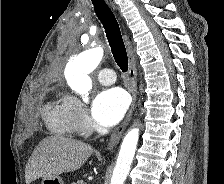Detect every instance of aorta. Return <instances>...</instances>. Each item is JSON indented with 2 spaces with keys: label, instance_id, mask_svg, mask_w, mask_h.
Masks as SVG:
<instances>
[{
  "label": "aorta",
  "instance_id": "762f6f07",
  "mask_svg": "<svg viewBox=\"0 0 224 184\" xmlns=\"http://www.w3.org/2000/svg\"><path fill=\"white\" fill-rule=\"evenodd\" d=\"M103 54L104 50L101 46L92 47L80 53L66 65L64 74L69 87L80 94L86 103L92 87L89 74L97 68ZM138 139V128H132L124 137L110 184H124L130 171Z\"/></svg>",
  "mask_w": 224,
  "mask_h": 184
}]
</instances>
